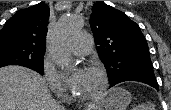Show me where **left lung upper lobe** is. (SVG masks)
<instances>
[{"label": "left lung upper lobe", "mask_w": 171, "mask_h": 110, "mask_svg": "<svg viewBox=\"0 0 171 110\" xmlns=\"http://www.w3.org/2000/svg\"><path fill=\"white\" fill-rule=\"evenodd\" d=\"M90 25L110 85L131 77L155 78L146 39L128 16L97 1Z\"/></svg>", "instance_id": "left-lung-upper-lobe-1"}]
</instances>
